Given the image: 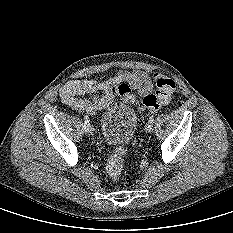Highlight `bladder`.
Returning a JSON list of instances; mask_svg holds the SVG:
<instances>
[{
	"mask_svg": "<svg viewBox=\"0 0 233 233\" xmlns=\"http://www.w3.org/2000/svg\"><path fill=\"white\" fill-rule=\"evenodd\" d=\"M138 126L135 110L125 103L108 105L101 118V131L111 145H124L133 138Z\"/></svg>",
	"mask_w": 233,
	"mask_h": 233,
	"instance_id": "31cf9c89",
	"label": "bladder"
}]
</instances>
